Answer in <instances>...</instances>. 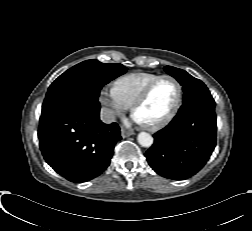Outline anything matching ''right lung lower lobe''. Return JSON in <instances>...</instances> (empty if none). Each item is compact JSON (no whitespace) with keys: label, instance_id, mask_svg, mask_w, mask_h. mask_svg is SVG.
Listing matches in <instances>:
<instances>
[{"label":"right lung lower lobe","instance_id":"1","mask_svg":"<svg viewBox=\"0 0 252 231\" xmlns=\"http://www.w3.org/2000/svg\"><path fill=\"white\" fill-rule=\"evenodd\" d=\"M100 108L62 103L42 111L39 145L45 161L71 182L99 176L110 164L121 139L116 123L104 124Z\"/></svg>","mask_w":252,"mask_h":231}]
</instances>
